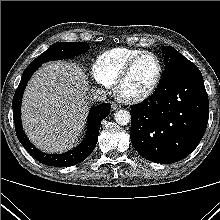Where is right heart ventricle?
Returning a JSON list of instances; mask_svg holds the SVG:
<instances>
[{
    "label": "right heart ventricle",
    "instance_id": "1",
    "mask_svg": "<svg viewBox=\"0 0 220 220\" xmlns=\"http://www.w3.org/2000/svg\"><path fill=\"white\" fill-rule=\"evenodd\" d=\"M142 51L126 47L105 51L98 57L94 65V72L107 85H113L128 61Z\"/></svg>",
    "mask_w": 220,
    "mask_h": 220
}]
</instances>
